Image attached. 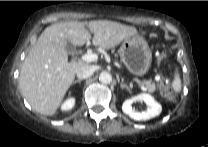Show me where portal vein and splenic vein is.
<instances>
[{
    "instance_id": "portal-vein-and-splenic-vein-1",
    "label": "portal vein and splenic vein",
    "mask_w": 208,
    "mask_h": 147,
    "mask_svg": "<svg viewBox=\"0 0 208 147\" xmlns=\"http://www.w3.org/2000/svg\"><path fill=\"white\" fill-rule=\"evenodd\" d=\"M81 59L85 62H94L97 61L98 56L94 53H85L81 56Z\"/></svg>"
}]
</instances>
